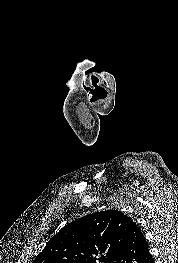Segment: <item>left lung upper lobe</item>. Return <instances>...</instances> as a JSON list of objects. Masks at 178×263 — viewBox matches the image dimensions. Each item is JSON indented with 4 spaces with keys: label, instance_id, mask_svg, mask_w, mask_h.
<instances>
[{
    "label": "left lung upper lobe",
    "instance_id": "left-lung-upper-lobe-1",
    "mask_svg": "<svg viewBox=\"0 0 178 263\" xmlns=\"http://www.w3.org/2000/svg\"><path fill=\"white\" fill-rule=\"evenodd\" d=\"M132 223L118 210L78 218L53 236L33 263H112Z\"/></svg>",
    "mask_w": 178,
    "mask_h": 263
}]
</instances>
